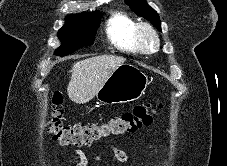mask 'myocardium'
<instances>
[{
	"label": "myocardium",
	"instance_id": "obj_1",
	"mask_svg": "<svg viewBox=\"0 0 227 166\" xmlns=\"http://www.w3.org/2000/svg\"><path fill=\"white\" fill-rule=\"evenodd\" d=\"M144 34H148L150 36L152 40L151 44H147L144 41ZM134 40L142 53H152L156 51L160 46V39L156 30L151 24L147 22H141L136 25L134 31Z\"/></svg>",
	"mask_w": 227,
	"mask_h": 166
}]
</instances>
